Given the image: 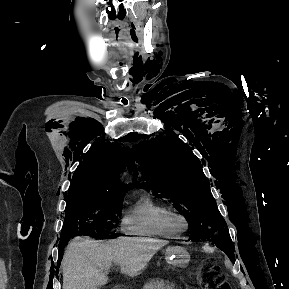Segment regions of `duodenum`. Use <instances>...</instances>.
<instances>
[{"instance_id":"410a0bca","label":"duodenum","mask_w":289,"mask_h":289,"mask_svg":"<svg viewBox=\"0 0 289 289\" xmlns=\"http://www.w3.org/2000/svg\"><path fill=\"white\" fill-rule=\"evenodd\" d=\"M113 289H121L120 287H114Z\"/></svg>"}]
</instances>
